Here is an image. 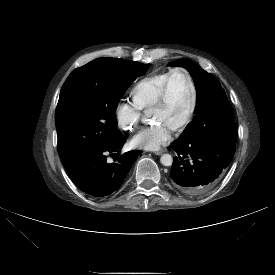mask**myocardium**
I'll return each instance as SVG.
<instances>
[{"label":"myocardium","mask_w":275,"mask_h":275,"mask_svg":"<svg viewBox=\"0 0 275 275\" xmlns=\"http://www.w3.org/2000/svg\"><path fill=\"white\" fill-rule=\"evenodd\" d=\"M176 73H182L186 76L189 86H190V90H191V103H190L188 113H187L186 117L184 118V120L182 122H180L174 128L175 131H181V130L185 129L191 123V121L195 115L196 108H197V102H198L196 84H195V81H194L191 73L187 69L182 68V67H176L169 71V73L164 81V84L161 87V90L158 94V97L152 106V109L160 108L166 104L167 99H168L170 81H171L172 76Z\"/></svg>","instance_id":"myocardium-1"}]
</instances>
